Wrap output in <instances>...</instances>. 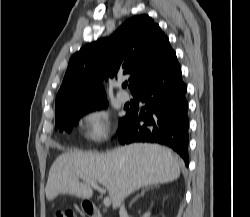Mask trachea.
I'll return each mask as SVG.
<instances>
[{"instance_id": "1", "label": "trachea", "mask_w": 250, "mask_h": 217, "mask_svg": "<svg viewBox=\"0 0 250 217\" xmlns=\"http://www.w3.org/2000/svg\"><path fill=\"white\" fill-rule=\"evenodd\" d=\"M123 87H124V88L127 87V83H124V84H123Z\"/></svg>"}]
</instances>
